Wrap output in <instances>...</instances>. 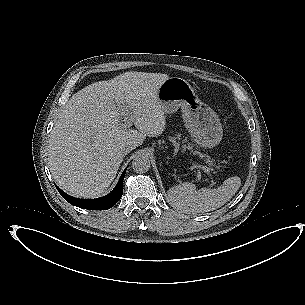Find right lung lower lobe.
I'll return each instance as SVG.
<instances>
[{"instance_id": "98d812e1", "label": "right lung lower lobe", "mask_w": 305, "mask_h": 305, "mask_svg": "<svg viewBox=\"0 0 305 305\" xmlns=\"http://www.w3.org/2000/svg\"><path fill=\"white\" fill-rule=\"evenodd\" d=\"M126 173V169L123 171L116 187L114 190L109 193L108 195L98 198V199H78L74 198L68 194H66L64 191H62L60 188L56 186L59 193L62 195V197L69 202L72 205H75L79 208L88 209V210H107L111 208L114 204H116L123 194V179Z\"/></svg>"}]
</instances>
